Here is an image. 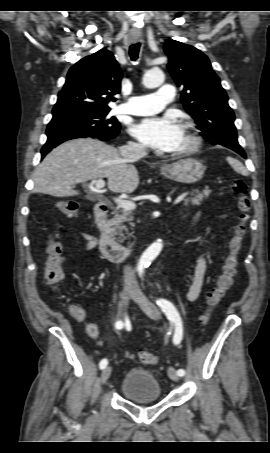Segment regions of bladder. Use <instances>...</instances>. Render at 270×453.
I'll return each instance as SVG.
<instances>
[{
    "instance_id": "obj_1",
    "label": "bladder",
    "mask_w": 270,
    "mask_h": 453,
    "mask_svg": "<svg viewBox=\"0 0 270 453\" xmlns=\"http://www.w3.org/2000/svg\"><path fill=\"white\" fill-rule=\"evenodd\" d=\"M120 391L135 403L157 402L162 398L160 382L147 370L132 368L123 377Z\"/></svg>"
}]
</instances>
